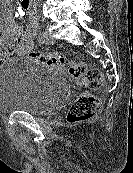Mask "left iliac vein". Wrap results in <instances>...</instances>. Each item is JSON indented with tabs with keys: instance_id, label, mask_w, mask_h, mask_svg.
<instances>
[{
	"instance_id": "4c4485c4",
	"label": "left iliac vein",
	"mask_w": 133,
	"mask_h": 173,
	"mask_svg": "<svg viewBox=\"0 0 133 173\" xmlns=\"http://www.w3.org/2000/svg\"><path fill=\"white\" fill-rule=\"evenodd\" d=\"M43 34H44L45 43L53 44L55 42V39H54L52 33L48 29H45Z\"/></svg>"
}]
</instances>
